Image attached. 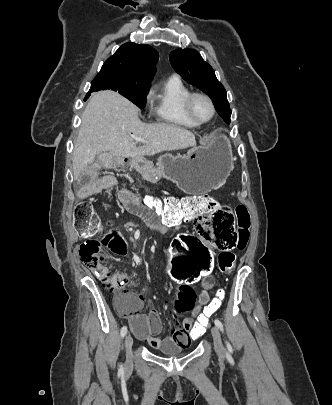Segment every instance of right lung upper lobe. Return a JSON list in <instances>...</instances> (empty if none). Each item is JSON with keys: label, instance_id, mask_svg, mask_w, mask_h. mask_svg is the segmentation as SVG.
<instances>
[{"label": "right lung upper lobe", "instance_id": "1", "mask_svg": "<svg viewBox=\"0 0 332 405\" xmlns=\"http://www.w3.org/2000/svg\"><path fill=\"white\" fill-rule=\"evenodd\" d=\"M158 57V52L149 45L125 43L104 62L99 73H117L151 82Z\"/></svg>", "mask_w": 332, "mask_h": 405}]
</instances>
